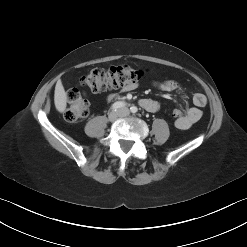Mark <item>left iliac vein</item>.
<instances>
[{"label": "left iliac vein", "mask_w": 247, "mask_h": 247, "mask_svg": "<svg viewBox=\"0 0 247 247\" xmlns=\"http://www.w3.org/2000/svg\"><path fill=\"white\" fill-rule=\"evenodd\" d=\"M120 112H121V115H125V114L128 113V109L123 108V109L120 110Z\"/></svg>", "instance_id": "4c4485c4"}]
</instances>
